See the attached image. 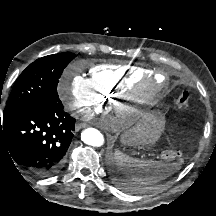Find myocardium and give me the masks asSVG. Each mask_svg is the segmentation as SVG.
Here are the masks:
<instances>
[{
  "label": "myocardium",
  "mask_w": 216,
  "mask_h": 216,
  "mask_svg": "<svg viewBox=\"0 0 216 216\" xmlns=\"http://www.w3.org/2000/svg\"><path fill=\"white\" fill-rule=\"evenodd\" d=\"M167 86V78L163 74L156 72L151 75L149 79L140 83L137 88L134 90L136 100L139 102L143 99L156 95L162 92ZM125 110L128 114L127 120H133L139 113V108L135 105L125 107Z\"/></svg>",
  "instance_id": "obj_1"
}]
</instances>
